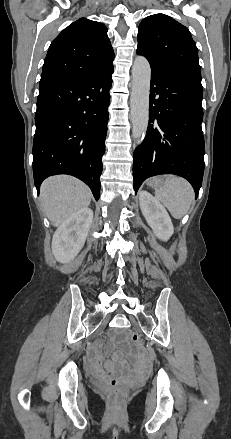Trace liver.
Returning <instances> with one entry per match:
<instances>
[{
	"label": "liver",
	"mask_w": 231,
	"mask_h": 439,
	"mask_svg": "<svg viewBox=\"0 0 231 439\" xmlns=\"http://www.w3.org/2000/svg\"><path fill=\"white\" fill-rule=\"evenodd\" d=\"M92 194L83 182L66 175L46 179L40 188V202L44 213L55 227L77 211L86 208Z\"/></svg>",
	"instance_id": "6515ba94"
}]
</instances>
